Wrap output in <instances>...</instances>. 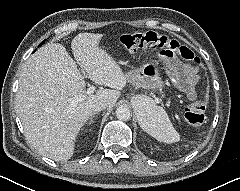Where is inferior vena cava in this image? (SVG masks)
<instances>
[{
	"label": "inferior vena cava",
	"mask_w": 240,
	"mask_h": 191,
	"mask_svg": "<svg viewBox=\"0 0 240 191\" xmlns=\"http://www.w3.org/2000/svg\"><path fill=\"white\" fill-rule=\"evenodd\" d=\"M107 107H108V103H106L104 101H98V102L93 104L92 110L94 112H100V111L106 109Z\"/></svg>",
	"instance_id": "inferior-vena-cava-1"
}]
</instances>
